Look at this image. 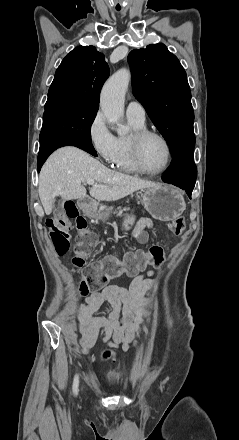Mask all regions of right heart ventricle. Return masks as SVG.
Listing matches in <instances>:
<instances>
[{
    "label": "right heart ventricle",
    "instance_id": "e07e8e85",
    "mask_svg": "<svg viewBox=\"0 0 239 440\" xmlns=\"http://www.w3.org/2000/svg\"><path fill=\"white\" fill-rule=\"evenodd\" d=\"M131 123L135 127V129L144 127V123L138 124L133 121H131ZM129 139H130L129 136H121L118 138L119 150L113 164L118 170L123 171L125 173H137L138 171L134 167L131 159Z\"/></svg>",
    "mask_w": 239,
    "mask_h": 440
}]
</instances>
